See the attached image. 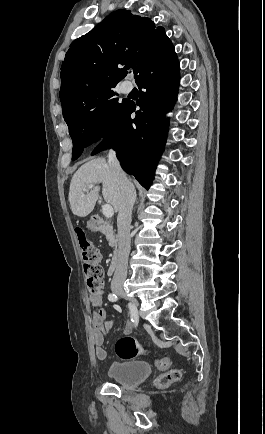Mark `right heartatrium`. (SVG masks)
<instances>
[{"label": "right heart atrium", "instance_id": "obj_1", "mask_svg": "<svg viewBox=\"0 0 265 434\" xmlns=\"http://www.w3.org/2000/svg\"><path fill=\"white\" fill-rule=\"evenodd\" d=\"M99 121H102V118H99Z\"/></svg>", "mask_w": 265, "mask_h": 434}]
</instances>
